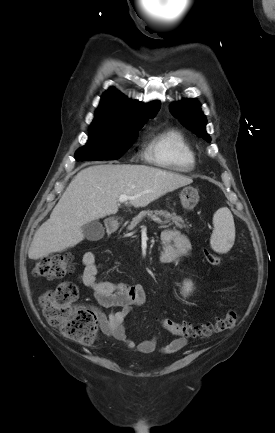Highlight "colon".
Instances as JSON below:
<instances>
[{
	"mask_svg": "<svg viewBox=\"0 0 275 433\" xmlns=\"http://www.w3.org/2000/svg\"><path fill=\"white\" fill-rule=\"evenodd\" d=\"M206 261L219 266L221 258L204 250ZM71 259L66 256L43 257L37 260L34 274L41 278H61L71 272ZM78 297L77 287L68 281L61 282L56 288L44 292L40 297L43 314L46 320L59 328L67 338L81 343L91 344L97 335V320L93 310L85 306H75ZM238 314L229 310L214 322L199 325L180 323L172 319L161 320L163 328L182 338H207L212 334L221 333L235 327Z\"/></svg>",
	"mask_w": 275,
	"mask_h": 433,
	"instance_id": "1",
	"label": "colon"
}]
</instances>
